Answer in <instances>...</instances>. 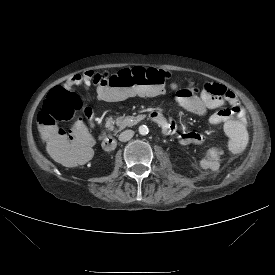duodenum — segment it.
<instances>
[{
  "label": "duodenum",
  "mask_w": 275,
  "mask_h": 275,
  "mask_svg": "<svg viewBox=\"0 0 275 275\" xmlns=\"http://www.w3.org/2000/svg\"><path fill=\"white\" fill-rule=\"evenodd\" d=\"M151 117H152L153 121L156 122L157 124H159V125L164 124V118L162 116L156 115L155 112L151 113ZM109 128L110 127L108 126V129ZM116 146H117V141L114 136L108 135L103 139L102 147L104 150L112 151L116 148Z\"/></svg>",
  "instance_id": "obj_1"
}]
</instances>
